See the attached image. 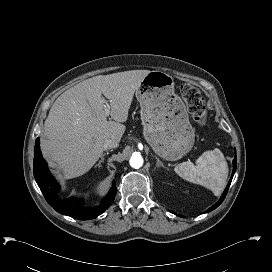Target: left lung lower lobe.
Listing matches in <instances>:
<instances>
[{
  "mask_svg": "<svg viewBox=\"0 0 272 272\" xmlns=\"http://www.w3.org/2000/svg\"><path fill=\"white\" fill-rule=\"evenodd\" d=\"M236 166H237V159H236V156H235V159L233 160V172H232V177H231V179H230V181H229V183H228V185H227L225 191L223 192L221 198L219 199V201H218L215 205H213L211 208H209V209L207 210V212H208V211H211V210H213V209H215V208H217V207L222 203V201L224 200V198H225V196H226V194H227L228 188H229V186H230V183H231V181H232L233 175H234V173H235ZM179 216L182 217L181 215H179Z\"/></svg>",
  "mask_w": 272,
  "mask_h": 272,
  "instance_id": "1",
  "label": "left lung lower lobe"
}]
</instances>
